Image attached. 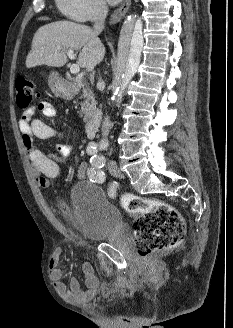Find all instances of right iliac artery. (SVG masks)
Wrapping results in <instances>:
<instances>
[{
    "mask_svg": "<svg viewBox=\"0 0 233 328\" xmlns=\"http://www.w3.org/2000/svg\"><path fill=\"white\" fill-rule=\"evenodd\" d=\"M99 149H104V146H100L98 147L97 144L95 143H91L89 144V146L87 147V153L89 155H95ZM116 189H117V184L116 183H113L111 186H110V189H109V196L111 198H114L116 196Z\"/></svg>",
    "mask_w": 233,
    "mask_h": 328,
    "instance_id": "82829eb1",
    "label": "right iliac artery"
}]
</instances>
